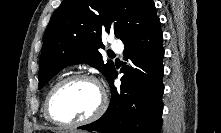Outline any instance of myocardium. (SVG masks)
<instances>
[{
  "label": "myocardium",
  "instance_id": "myocardium-1",
  "mask_svg": "<svg viewBox=\"0 0 221 133\" xmlns=\"http://www.w3.org/2000/svg\"><path fill=\"white\" fill-rule=\"evenodd\" d=\"M75 80H86L89 82H92L99 90L100 93V100L99 103L96 107V109L86 118L78 120V121H72V122H61L56 120L52 114H51V110H50V101L51 98L54 94V92L62 85L71 82V81H75ZM107 107V96L106 93L103 89V87L101 86L99 80L90 75V74H86V73H76V74H72L69 75L67 77H64L63 79L59 80L57 83H55L51 89L48 91L46 97H45V101H44V114L46 119L58 126V127H63V128H72V127H79V126H83L86 124H89L95 120H97L98 118H100L103 113L105 112Z\"/></svg>",
  "mask_w": 221,
  "mask_h": 133
}]
</instances>
